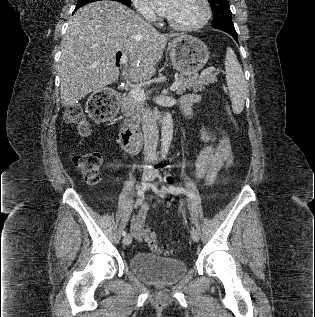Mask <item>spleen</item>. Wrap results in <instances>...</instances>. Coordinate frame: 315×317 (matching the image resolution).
<instances>
[{
  "instance_id": "spleen-1",
  "label": "spleen",
  "mask_w": 315,
  "mask_h": 317,
  "mask_svg": "<svg viewBox=\"0 0 315 317\" xmlns=\"http://www.w3.org/2000/svg\"><path fill=\"white\" fill-rule=\"evenodd\" d=\"M225 75L230 92L232 110L235 114H240L244 108L245 99L248 94V86L244 78L242 67L230 47H227L226 50Z\"/></svg>"
}]
</instances>
